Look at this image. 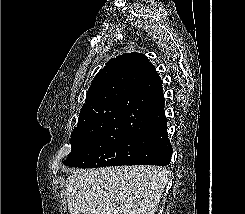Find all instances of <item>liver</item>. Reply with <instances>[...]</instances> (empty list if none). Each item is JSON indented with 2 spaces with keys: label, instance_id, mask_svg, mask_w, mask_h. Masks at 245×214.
Instances as JSON below:
<instances>
[{
  "label": "liver",
  "instance_id": "1",
  "mask_svg": "<svg viewBox=\"0 0 245 214\" xmlns=\"http://www.w3.org/2000/svg\"><path fill=\"white\" fill-rule=\"evenodd\" d=\"M168 183L155 166L78 171L66 180L70 214H154Z\"/></svg>",
  "mask_w": 245,
  "mask_h": 214
}]
</instances>
